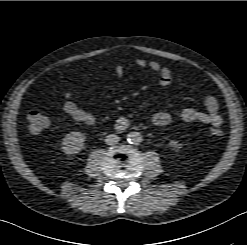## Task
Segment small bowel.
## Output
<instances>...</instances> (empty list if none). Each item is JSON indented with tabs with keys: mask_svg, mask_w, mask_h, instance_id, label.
<instances>
[{
	"mask_svg": "<svg viewBox=\"0 0 247 245\" xmlns=\"http://www.w3.org/2000/svg\"><path fill=\"white\" fill-rule=\"evenodd\" d=\"M136 65L143 71H153L159 75V83L162 86H169L172 83V72L169 68L163 67L157 61H146L144 59H137ZM117 78H122L124 74L123 67L118 64L115 68ZM75 96V91H69L65 94V102L63 110L71 118L77 122L87 125H92L95 122L94 115L82 109L72 99ZM205 111H200L195 108H185L181 112V118L185 122H201L204 124H211L213 127H219L222 122V116L219 114V104L214 96L207 95L203 99ZM154 125L158 127L167 126L171 122V115L167 112L161 111L154 114L152 118Z\"/></svg>",
	"mask_w": 247,
	"mask_h": 245,
	"instance_id": "obj_1",
	"label": "small bowel"
}]
</instances>
